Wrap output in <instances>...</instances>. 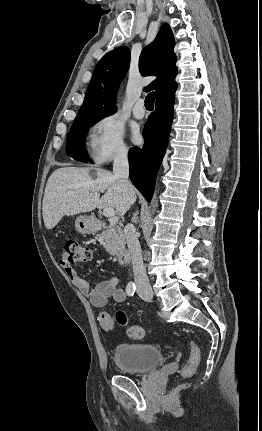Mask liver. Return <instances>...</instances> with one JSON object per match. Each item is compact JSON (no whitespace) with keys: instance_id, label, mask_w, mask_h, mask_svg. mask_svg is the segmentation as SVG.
I'll use <instances>...</instances> for the list:
<instances>
[{"instance_id":"1","label":"liver","mask_w":262,"mask_h":431,"mask_svg":"<svg viewBox=\"0 0 262 431\" xmlns=\"http://www.w3.org/2000/svg\"><path fill=\"white\" fill-rule=\"evenodd\" d=\"M63 167L49 177L43 198V219L47 229L54 228L63 216H72L99 209L113 208L123 216L136 200L132 187L110 171L96 168ZM105 191L100 198V192Z\"/></svg>"}]
</instances>
